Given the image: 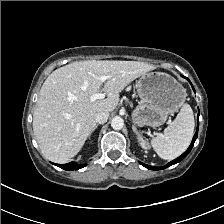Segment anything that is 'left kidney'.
I'll list each match as a JSON object with an SVG mask.
<instances>
[{"instance_id":"1","label":"left kidney","mask_w":224,"mask_h":224,"mask_svg":"<svg viewBox=\"0 0 224 224\" xmlns=\"http://www.w3.org/2000/svg\"><path fill=\"white\" fill-rule=\"evenodd\" d=\"M139 143L143 149L146 150L149 148L148 142L144 140L143 138H139Z\"/></svg>"}]
</instances>
